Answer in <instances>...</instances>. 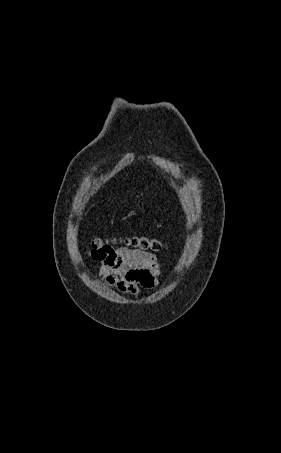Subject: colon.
Instances as JSON below:
<instances>
[{
    "mask_svg": "<svg viewBox=\"0 0 281 453\" xmlns=\"http://www.w3.org/2000/svg\"><path fill=\"white\" fill-rule=\"evenodd\" d=\"M119 245H124V247H127V245H136L137 250L140 249H145V250H152L155 254L156 251L160 250L161 248V243L156 241V240H151L148 238H128L125 239L121 244ZM111 246H100L97 248L96 251L92 252L89 256V259L91 261L95 262H104V256H103V251L104 249H110Z\"/></svg>",
    "mask_w": 281,
    "mask_h": 453,
    "instance_id": "5ec220e1",
    "label": "colon"
}]
</instances>
